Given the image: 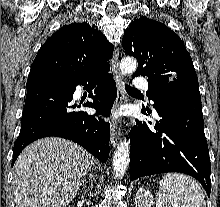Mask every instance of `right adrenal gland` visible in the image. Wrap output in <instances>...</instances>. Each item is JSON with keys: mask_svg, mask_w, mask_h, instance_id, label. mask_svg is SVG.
Wrapping results in <instances>:
<instances>
[{"mask_svg": "<svg viewBox=\"0 0 220 207\" xmlns=\"http://www.w3.org/2000/svg\"><path fill=\"white\" fill-rule=\"evenodd\" d=\"M93 175L92 174H89V182H90V185H92L93 184ZM83 188H86L85 186H83Z\"/></svg>", "mask_w": 220, "mask_h": 207, "instance_id": "obj_1", "label": "right adrenal gland"}]
</instances>
